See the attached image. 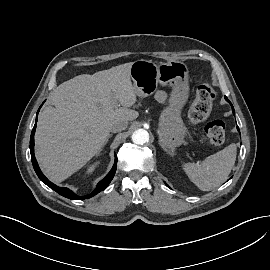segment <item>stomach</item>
<instances>
[{
  "instance_id": "1",
  "label": "stomach",
  "mask_w": 270,
  "mask_h": 270,
  "mask_svg": "<svg viewBox=\"0 0 270 270\" xmlns=\"http://www.w3.org/2000/svg\"><path fill=\"white\" fill-rule=\"evenodd\" d=\"M130 77L139 97L153 94L158 84L172 86L169 105L160 116L159 143L165 150L173 151L182 144L185 134L180 114L189 91L187 65L178 60L157 65L141 59L132 63Z\"/></svg>"
}]
</instances>
